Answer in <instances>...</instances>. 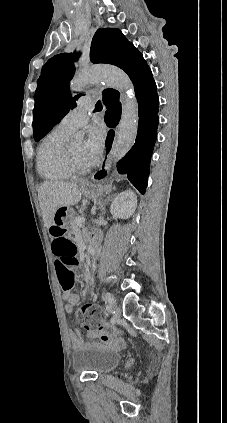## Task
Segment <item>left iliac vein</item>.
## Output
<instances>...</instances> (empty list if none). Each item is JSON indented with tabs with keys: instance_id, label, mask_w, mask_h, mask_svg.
<instances>
[{
	"instance_id": "left-iliac-vein-1",
	"label": "left iliac vein",
	"mask_w": 227,
	"mask_h": 423,
	"mask_svg": "<svg viewBox=\"0 0 227 423\" xmlns=\"http://www.w3.org/2000/svg\"><path fill=\"white\" fill-rule=\"evenodd\" d=\"M111 309L113 310V318L116 320L118 318H120L121 316V311L120 308H118L117 306L114 305V303L111 305Z\"/></svg>"
}]
</instances>
